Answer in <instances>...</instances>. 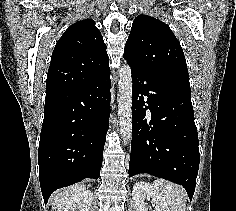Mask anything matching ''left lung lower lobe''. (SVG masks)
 <instances>
[{"mask_svg":"<svg viewBox=\"0 0 236 211\" xmlns=\"http://www.w3.org/2000/svg\"><path fill=\"white\" fill-rule=\"evenodd\" d=\"M131 70L129 177L148 173L181 184L191 200L200 159L191 93L145 70Z\"/></svg>","mask_w":236,"mask_h":211,"instance_id":"left-lung-lower-lobe-1","label":"left lung lower lobe"}]
</instances>
